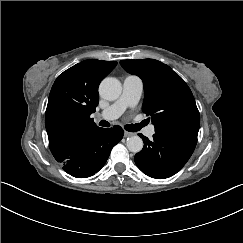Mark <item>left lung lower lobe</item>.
Returning <instances> with one entry per match:
<instances>
[{
	"instance_id": "1",
	"label": "left lung lower lobe",
	"mask_w": 243,
	"mask_h": 243,
	"mask_svg": "<svg viewBox=\"0 0 243 243\" xmlns=\"http://www.w3.org/2000/svg\"><path fill=\"white\" fill-rule=\"evenodd\" d=\"M139 136L144 147L135 155V163L144 174L156 179L176 174L189 160L197 143V137L175 132H156L153 140Z\"/></svg>"
}]
</instances>
